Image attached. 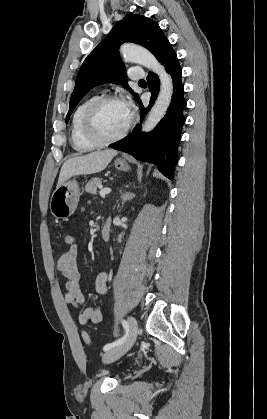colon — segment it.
<instances>
[{
    "label": "colon",
    "mask_w": 267,
    "mask_h": 419,
    "mask_svg": "<svg viewBox=\"0 0 267 419\" xmlns=\"http://www.w3.org/2000/svg\"><path fill=\"white\" fill-rule=\"evenodd\" d=\"M63 242H64V244L66 245L67 248L73 246L75 244L74 236L71 233H66L63 236ZM83 340L86 344L91 343L90 335L87 332L83 333Z\"/></svg>",
    "instance_id": "5ec220e1"
}]
</instances>
